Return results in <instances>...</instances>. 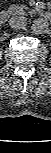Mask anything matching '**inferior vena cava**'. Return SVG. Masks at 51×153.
<instances>
[{
  "label": "inferior vena cava",
  "instance_id": "inferior-vena-cava-1",
  "mask_svg": "<svg viewBox=\"0 0 51 153\" xmlns=\"http://www.w3.org/2000/svg\"><path fill=\"white\" fill-rule=\"evenodd\" d=\"M9 25L13 29H22L27 25V18L24 16H12Z\"/></svg>",
  "mask_w": 51,
  "mask_h": 153
}]
</instances>
